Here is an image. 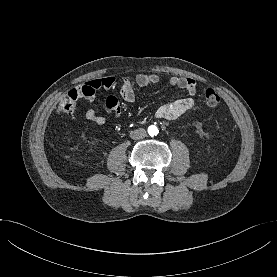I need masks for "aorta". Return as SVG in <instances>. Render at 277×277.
Segmentation results:
<instances>
[{"label": "aorta", "instance_id": "obj_1", "mask_svg": "<svg viewBox=\"0 0 277 277\" xmlns=\"http://www.w3.org/2000/svg\"><path fill=\"white\" fill-rule=\"evenodd\" d=\"M159 130L156 126H150L148 128V133L150 136H156L158 134Z\"/></svg>", "mask_w": 277, "mask_h": 277}]
</instances>
